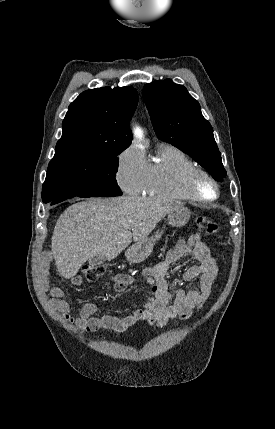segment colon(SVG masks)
I'll return each instance as SVG.
<instances>
[{"label": "colon", "instance_id": "obj_1", "mask_svg": "<svg viewBox=\"0 0 275 429\" xmlns=\"http://www.w3.org/2000/svg\"><path fill=\"white\" fill-rule=\"evenodd\" d=\"M196 223L198 229L205 235H215L218 231L217 224L207 216H198ZM82 273L88 280H97L105 274V268L99 265H85Z\"/></svg>", "mask_w": 275, "mask_h": 429}]
</instances>
